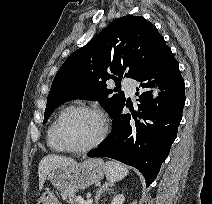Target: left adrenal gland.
<instances>
[{
	"label": "left adrenal gland",
	"instance_id": "1",
	"mask_svg": "<svg viewBox=\"0 0 212 204\" xmlns=\"http://www.w3.org/2000/svg\"><path fill=\"white\" fill-rule=\"evenodd\" d=\"M112 186H113L112 184L107 182L100 186V188L96 191L95 204H98L101 194L105 192L106 190L111 189L109 187H112Z\"/></svg>",
	"mask_w": 212,
	"mask_h": 204
}]
</instances>
